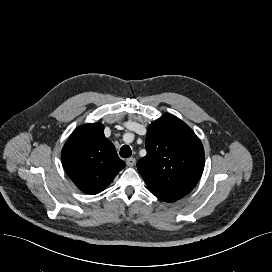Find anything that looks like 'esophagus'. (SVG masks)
<instances>
[{
	"mask_svg": "<svg viewBox=\"0 0 272 272\" xmlns=\"http://www.w3.org/2000/svg\"><path fill=\"white\" fill-rule=\"evenodd\" d=\"M135 163H136L135 158H128V159L126 160V164H127L129 167L134 166Z\"/></svg>",
	"mask_w": 272,
	"mask_h": 272,
	"instance_id": "1",
	"label": "esophagus"
}]
</instances>
